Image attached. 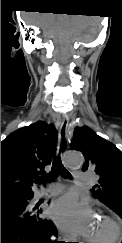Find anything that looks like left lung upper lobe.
<instances>
[{
	"label": "left lung upper lobe",
	"mask_w": 122,
	"mask_h": 243,
	"mask_svg": "<svg viewBox=\"0 0 122 243\" xmlns=\"http://www.w3.org/2000/svg\"><path fill=\"white\" fill-rule=\"evenodd\" d=\"M71 148L84 155L83 171L93 167L100 175L94 197L122 218V152L87 126L75 128Z\"/></svg>",
	"instance_id": "5c2ea615"
}]
</instances>
